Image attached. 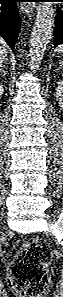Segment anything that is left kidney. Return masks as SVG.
Here are the masks:
<instances>
[{
    "instance_id": "1",
    "label": "left kidney",
    "mask_w": 63,
    "mask_h": 297,
    "mask_svg": "<svg viewBox=\"0 0 63 297\" xmlns=\"http://www.w3.org/2000/svg\"><path fill=\"white\" fill-rule=\"evenodd\" d=\"M56 100L58 101L59 105H63V81H59L57 83Z\"/></svg>"
}]
</instances>
